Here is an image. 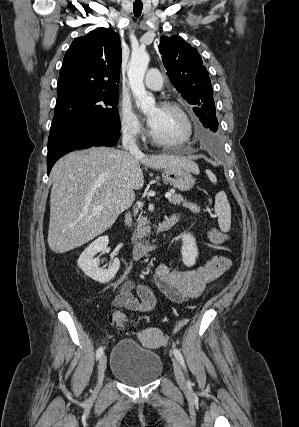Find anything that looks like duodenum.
<instances>
[{
	"instance_id": "1",
	"label": "duodenum",
	"mask_w": 299,
	"mask_h": 427,
	"mask_svg": "<svg viewBox=\"0 0 299 427\" xmlns=\"http://www.w3.org/2000/svg\"><path fill=\"white\" fill-rule=\"evenodd\" d=\"M177 221V218L170 216L167 219L159 222L155 226V233L159 234L169 230ZM154 249V244L149 239H142L131 242L132 254L135 258L139 259L148 254Z\"/></svg>"
}]
</instances>
